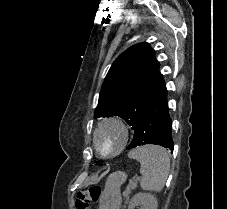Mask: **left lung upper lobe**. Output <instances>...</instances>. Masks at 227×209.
<instances>
[{
  "label": "left lung upper lobe",
  "mask_w": 227,
  "mask_h": 209,
  "mask_svg": "<svg viewBox=\"0 0 227 209\" xmlns=\"http://www.w3.org/2000/svg\"><path fill=\"white\" fill-rule=\"evenodd\" d=\"M166 89L148 43L133 45L112 64L102 85L95 118L119 116L136 130L149 105Z\"/></svg>",
  "instance_id": "5c2ea615"
}]
</instances>
